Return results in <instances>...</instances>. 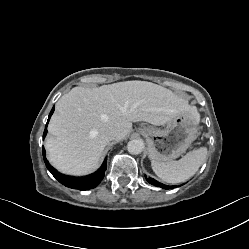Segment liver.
<instances>
[{"label":"liver","instance_id":"liver-1","mask_svg":"<svg viewBox=\"0 0 249 249\" xmlns=\"http://www.w3.org/2000/svg\"><path fill=\"white\" fill-rule=\"evenodd\" d=\"M185 111L197 108L171 90L147 81L74 87L58 100L50 119V136L45 141L48 160L62 173H91L110 141L104 137L107 129H114L116 140H121L131 132L133 122L161 126Z\"/></svg>","mask_w":249,"mask_h":249}]
</instances>
